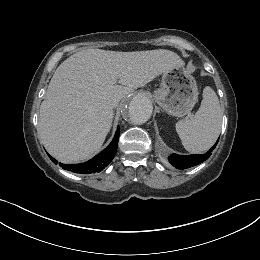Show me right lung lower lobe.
<instances>
[{
  "instance_id": "right-lung-lower-lobe-1",
  "label": "right lung lower lobe",
  "mask_w": 260,
  "mask_h": 260,
  "mask_svg": "<svg viewBox=\"0 0 260 260\" xmlns=\"http://www.w3.org/2000/svg\"><path fill=\"white\" fill-rule=\"evenodd\" d=\"M118 139H119V127L116 130L114 138L112 142L98 155H96L91 160L80 163V164H61L59 165L63 167V169L79 173V174H91L102 171L109 163L113 160L117 146H118ZM50 157V156H49ZM51 160L56 164V161L50 157Z\"/></svg>"
}]
</instances>
